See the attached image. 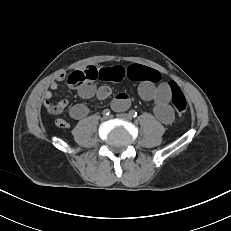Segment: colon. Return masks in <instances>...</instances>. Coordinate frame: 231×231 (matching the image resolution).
I'll return each instance as SVG.
<instances>
[{
    "mask_svg": "<svg viewBox=\"0 0 231 231\" xmlns=\"http://www.w3.org/2000/svg\"><path fill=\"white\" fill-rule=\"evenodd\" d=\"M141 76L147 80H150L153 83H158L162 79V76L158 71L147 67H142ZM83 82H84V76L79 71H75L71 73L67 79L68 85L73 88L79 87ZM167 84L171 90L172 105L175 108L177 114L179 116H183L187 110L186 98L176 83L168 82ZM61 109H62L61 107L54 104L48 108V110L51 113H55V114L60 113Z\"/></svg>",
    "mask_w": 231,
    "mask_h": 231,
    "instance_id": "1",
    "label": "colon"
}]
</instances>
